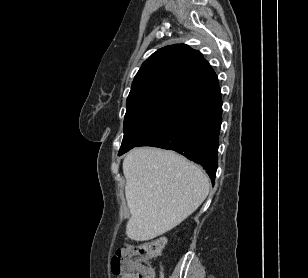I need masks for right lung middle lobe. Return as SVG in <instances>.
Segmentation results:
<instances>
[{
    "label": "right lung middle lobe",
    "instance_id": "obj_1",
    "mask_svg": "<svg viewBox=\"0 0 308 278\" xmlns=\"http://www.w3.org/2000/svg\"><path fill=\"white\" fill-rule=\"evenodd\" d=\"M177 112L157 111L137 114L124 120V137L118 155L136 147L162 129Z\"/></svg>",
    "mask_w": 308,
    "mask_h": 278
}]
</instances>
